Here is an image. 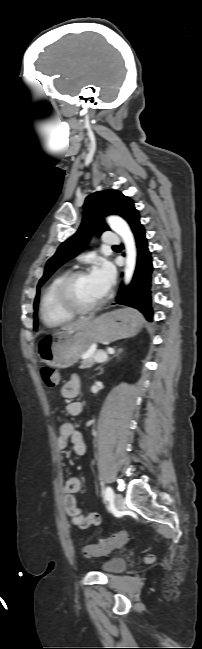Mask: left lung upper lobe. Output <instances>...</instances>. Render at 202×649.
Listing matches in <instances>:
<instances>
[{
    "instance_id": "left-lung-upper-lobe-1",
    "label": "left lung upper lobe",
    "mask_w": 202,
    "mask_h": 649,
    "mask_svg": "<svg viewBox=\"0 0 202 649\" xmlns=\"http://www.w3.org/2000/svg\"><path fill=\"white\" fill-rule=\"evenodd\" d=\"M83 207V220L78 231L59 246L56 253L45 265L44 275L37 286V294L34 301L35 310L38 308L40 287L53 272L81 252L94 233L100 235L102 232L109 230L107 225L102 224L97 226V223L102 221V217L115 213L130 223L135 216L139 215L134 207L133 200L117 190H104L90 194L86 198ZM34 317V330H36L38 326L36 312L34 313Z\"/></svg>"
}]
</instances>
